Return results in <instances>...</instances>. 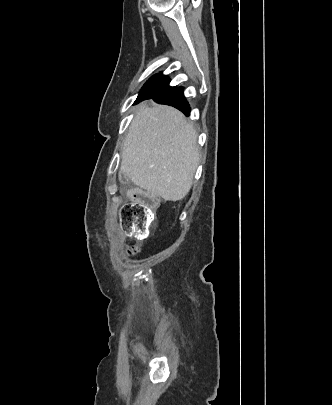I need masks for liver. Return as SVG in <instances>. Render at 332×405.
I'll use <instances>...</instances> for the list:
<instances>
[{"label": "liver", "mask_w": 332, "mask_h": 405, "mask_svg": "<svg viewBox=\"0 0 332 405\" xmlns=\"http://www.w3.org/2000/svg\"><path fill=\"white\" fill-rule=\"evenodd\" d=\"M197 134L177 109L140 104L124 142L121 172L165 201L188 194L198 166Z\"/></svg>", "instance_id": "1"}]
</instances>
